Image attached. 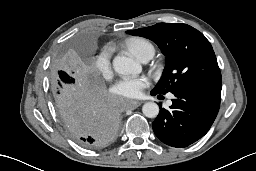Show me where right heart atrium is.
Returning <instances> with one entry per match:
<instances>
[{
    "instance_id": "d8ad5b80",
    "label": "right heart atrium",
    "mask_w": 256,
    "mask_h": 171,
    "mask_svg": "<svg viewBox=\"0 0 256 171\" xmlns=\"http://www.w3.org/2000/svg\"><path fill=\"white\" fill-rule=\"evenodd\" d=\"M94 69L104 78H109L112 74L110 53L107 50L102 51L94 61Z\"/></svg>"
}]
</instances>
